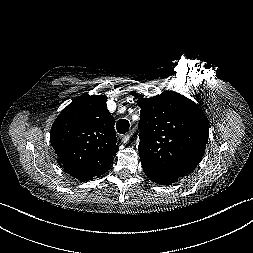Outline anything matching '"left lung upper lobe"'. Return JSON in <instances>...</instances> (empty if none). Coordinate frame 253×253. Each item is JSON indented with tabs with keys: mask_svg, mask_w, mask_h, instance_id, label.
Returning <instances> with one entry per match:
<instances>
[{
	"mask_svg": "<svg viewBox=\"0 0 253 253\" xmlns=\"http://www.w3.org/2000/svg\"><path fill=\"white\" fill-rule=\"evenodd\" d=\"M132 94L141 108V163L161 173L179 177L190 174L201 161L209 136L202 108L173 91L151 98Z\"/></svg>",
	"mask_w": 253,
	"mask_h": 253,
	"instance_id": "left-lung-upper-lobe-1",
	"label": "left lung upper lobe"
}]
</instances>
